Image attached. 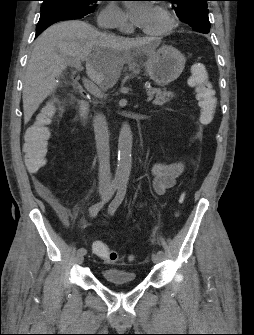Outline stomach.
Returning <instances> with one entry per match:
<instances>
[{"label": "stomach", "mask_w": 254, "mask_h": 335, "mask_svg": "<svg viewBox=\"0 0 254 335\" xmlns=\"http://www.w3.org/2000/svg\"><path fill=\"white\" fill-rule=\"evenodd\" d=\"M185 56L176 48L164 45L147 55L144 62L146 72L158 86H166L175 81L183 72Z\"/></svg>", "instance_id": "obj_1"}]
</instances>
